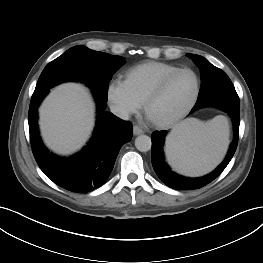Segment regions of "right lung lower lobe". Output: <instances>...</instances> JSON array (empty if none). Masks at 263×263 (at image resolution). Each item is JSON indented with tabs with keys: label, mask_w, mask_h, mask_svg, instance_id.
Listing matches in <instances>:
<instances>
[{
	"label": "right lung lower lobe",
	"mask_w": 263,
	"mask_h": 263,
	"mask_svg": "<svg viewBox=\"0 0 263 263\" xmlns=\"http://www.w3.org/2000/svg\"><path fill=\"white\" fill-rule=\"evenodd\" d=\"M48 91L33 95L30 102L28 123L34 157L58 186L77 193L92 191L106 182L121 146L132 139V124L104 111L106 102L95 95L98 115L93 137L76 155L56 156L43 145L37 125V108Z\"/></svg>",
	"instance_id": "right-lung-lower-lobe-1"
}]
</instances>
